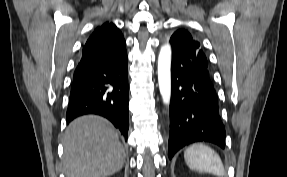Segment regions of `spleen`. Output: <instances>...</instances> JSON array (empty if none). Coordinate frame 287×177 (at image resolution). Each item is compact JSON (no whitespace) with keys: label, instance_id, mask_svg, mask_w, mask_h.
Listing matches in <instances>:
<instances>
[{"label":"spleen","instance_id":"obj_1","mask_svg":"<svg viewBox=\"0 0 287 177\" xmlns=\"http://www.w3.org/2000/svg\"><path fill=\"white\" fill-rule=\"evenodd\" d=\"M187 166L200 173H210L218 177L225 176V170L221 158L210 147L203 144H193L184 152Z\"/></svg>","mask_w":287,"mask_h":177}]
</instances>
